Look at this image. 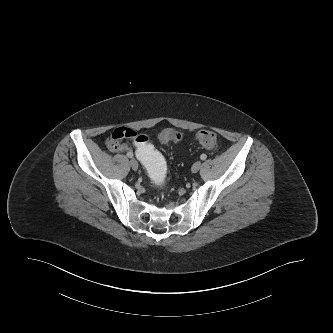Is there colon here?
Listing matches in <instances>:
<instances>
[{"label":"colon","instance_id":"1","mask_svg":"<svg viewBox=\"0 0 333 333\" xmlns=\"http://www.w3.org/2000/svg\"><path fill=\"white\" fill-rule=\"evenodd\" d=\"M183 139L180 131L165 129L158 136V142L166 144L172 141L179 142ZM197 141L207 149L217 147V137L210 130H201L196 134ZM135 154L140 163L147 167L150 180L159 184L165 180L167 164L161 157L158 147L149 142L148 136L136 133Z\"/></svg>","mask_w":333,"mask_h":333}]
</instances>
